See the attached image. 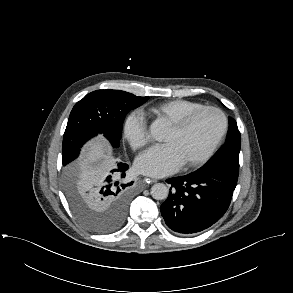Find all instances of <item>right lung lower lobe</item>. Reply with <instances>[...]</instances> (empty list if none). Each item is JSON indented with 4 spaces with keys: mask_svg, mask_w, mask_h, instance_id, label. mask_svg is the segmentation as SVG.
Listing matches in <instances>:
<instances>
[{
    "mask_svg": "<svg viewBox=\"0 0 293 293\" xmlns=\"http://www.w3.org/2000/svg\"><path fill=\"white\" fill-rule=\"evenodd\" d=\"M127 169L126 163H117L105 173L98 174L94 180L88 181L82 189L87 205L100 213L112 214L124 221L130 186L133 184V182L122 183L121 179L125 177Z\"/></svg>",
    "mask_w": 293,
    "mask_h": 293,
    "instance_id": "right-lung-lower-lobe-1",
    "label": "right lung lower lobe"
}]
</instances>
